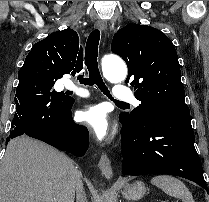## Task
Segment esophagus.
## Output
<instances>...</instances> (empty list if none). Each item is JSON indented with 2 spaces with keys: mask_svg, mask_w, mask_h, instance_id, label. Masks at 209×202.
Wrapping results in <instances>:
<instances>
[{
  "mask_svg": "<svg viewBox=\"0 0 209 202\" xmlns=\"http://www.w3.org/2000/svg\"><path fill=\"white\" fill-rule=\"evenodd\" d=\"M96 27L100 31H105L107 29V24L104 20L99 19L96 22ZM98 166L105 177H107L108 179L112 178L113 171L111 167V162H110L109 157L106 154L101 155Z\"/></svg>",
  "mask_w": 209,
  "mask_h": 202,
  "instance_id": "obj_1",
  "label": "esophagus"
}]
</instances>
